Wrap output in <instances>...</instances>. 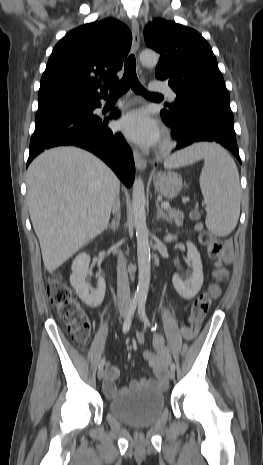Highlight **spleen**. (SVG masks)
<instances>
[{"mask_svg":"<svg viewBox=\"0 0 263 465\" xmlns=\"http://www.w3.org/2000/svg\"><path fill=\"white\" fill-rule=\"evenodd\" d=\"M204 159L200 187L206 203L205 224L217 236L235 228L240 214L239 173L231 156L217 144L197 143L165 161V168H178Z\"/></svg>","mask_w":263,"mask_h":465,"instance_id":"3e777b00","label":"spleen"}]
</instances>
